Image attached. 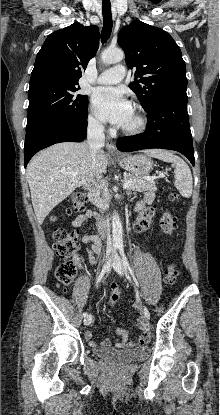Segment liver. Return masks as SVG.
<instances>
[{
	"mask_svg": "<svg viewBox=\"0 0 220 415\" xmlns=\"http://www.w3.org/2000/svg\"><path fill=\"white\" fill-rule=\"evenodd\" d=\"M107 157L98 153V167L92 164L88 143H58L38 153L28 164L26 176L39 224L51 210L77 188L106 173ZM77 173L76 177L68 173Z\"/></svg>",
	"mask_w": 220,
	"mask_h": 415,
	"instance_id": "6515ba94",
	"label": "liver"
}]
</instances>
